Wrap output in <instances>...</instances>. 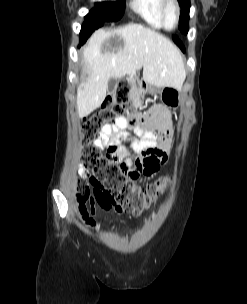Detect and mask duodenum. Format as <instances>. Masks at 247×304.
Here are the masks:
<instances>
[{
  "instance_id": "410a0bca",
  "label": "duodenum",
  "mask_w": 247,
  "mask_h": 304,
  "mask_svg": "<svg viewBox=\"0 0 247 304\" xmlns=\"http://www.w3.org/2000/svg\"><path fill=\"white\" fill-rule=\"evenodd\" d=\"M130 89L132 90H140L143 86H148L149 82L148 81H143L142 78H134L130 80ZM142 86V87H141Z\"/></svg>"
}]
</instances>
